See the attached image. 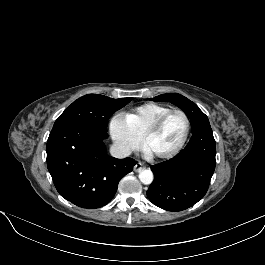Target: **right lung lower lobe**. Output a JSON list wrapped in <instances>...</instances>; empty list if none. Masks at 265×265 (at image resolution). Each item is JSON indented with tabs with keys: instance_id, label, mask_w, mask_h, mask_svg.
I'll list each match as a JSON object with an SVG mask.
<instances>
[{
	"instance_id": "1",
	"label": "right lung lower lobe",
	"mask_w": 265,
	"mask_h": 265,
	"mask_svg": "<svg viewBox=\"0 0 265 265\" xmlns=\"http://www.w3.org/2000/svg\"><path fill=\"white\" fill-rule=\"evenodd\" d=\"M107 133L75 123L54 127L47 140V167L58 193L87 209L106 205L119 181L133 170L132 158L107 155Z\"/></svg>"
}]
</instances>
